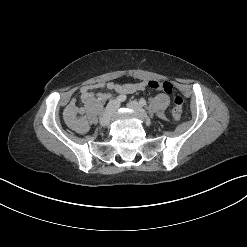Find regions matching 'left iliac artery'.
<instances>
[{
  "label": "left iliac artery",
  "mask_w": 247,
  "mask_h": 247,
  "mask_svg": "<svg viewBox=\"0 0 247 247\" xmlns=\"http://www.w3.org/2000/svg\"><path fill=\"white\" fill-rule=\"evenodd\" d=\"M139 103H140L141 106H145L146 105V100L142 98V99L139 100Z\"/></svg>",
  "instance_id": "1"
}]
</instances>
